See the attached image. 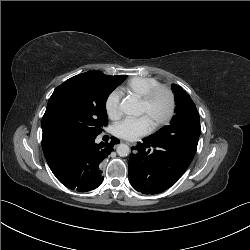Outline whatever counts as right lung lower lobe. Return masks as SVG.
I'll return each instance as SVG.
<instances>
[{"mask_svg": "<svg viewBox=\"0 0 250 250\" xmlns=\"http://www.w3.org/2000/svg\"><path fill=\"white\" fill-rule=\"evenodd\" d=\"M96 136L82 133H43L42 148L47 163L56 178L66 187L77 191H90L103 181L101 166L115 144L95 143Z\"/></svg>", "mask_w": 250, "mask_h": 250, "instance_id": "1", "label": "right lung lower lobe"}]
</instances>
